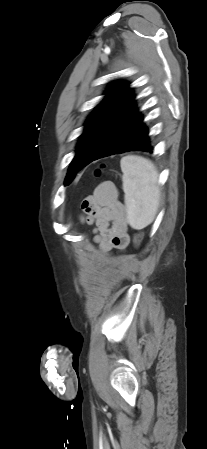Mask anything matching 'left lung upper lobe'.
<instances>
[{"label": "left lung upper lobe", "instance_id": "5c2ea615", "mask_svg": "<svg viewBox=\"0 0 207 449\" xmlns=\"http://www.w3.org/2000/svg\"><path fill=\"white\" fill-rule=\"evenodd\" d=\"M106 94V98L96 107L86 122V128L80 136L77 153L70 164L65 185L74 179L79 170L92 162L111 131L136 108L134 96L127 83L111 84Z\"/></svg>", "mask_w": 207, "mask_h": 449}]
</instances>
